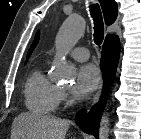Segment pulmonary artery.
Listing matches in <instances>:
<instances>
[{"label": "pulmonary artery", "mask_w": 141, "mask_h": 139, "mask_svg": "<svg viewBox=\"0 0 141 139\" xmlns=\"http://www.w3.org/2000/svg\"><path fill=\"white\" fill-rule=\"evenodd\" d=\"M69 55L77 61H86L89 59V51L84 47H76L69 52Z\"/></svg>", "instance_id": "1"}]
</instances>
